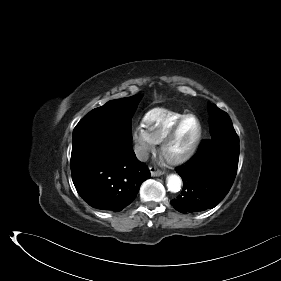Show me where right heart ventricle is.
Returning <instances> with one entry per match:
<instances>
[{
  "mask_svg": "<svg viewBox=\"0 0 281 281\" xmlns=\"http://www.w3.org/2000/svg\"><path fill=\"white\" fill-rule=\"evenodd\" d=\"M186 113L166 108H153L143 117V127L154 143L162 141L172 126Z\"/></svg>",
  "mask_w": 281,
  "mask_h": 281,
  "instance_id": "obj_1",
  "label": "right heart ventricle"
}]
</instances>
